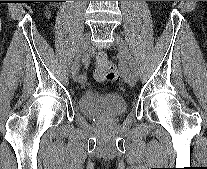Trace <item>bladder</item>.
<instances>
[{
  "label": "bladder",
  "instance_id": "1",
  "mask_svg": "<svg viewBox=\"0 0 207 169\" xmlns=\"http://www.w3.org/2000/svg\"><path fill=\"white\" fill-rule=\"evenodd\" d=\"M81 111L89 117L115 118L127 109L125 98L118 93L86 91L79 99Z\"/></svg>",
  "mask_w": 207,
  "mask_h": 169
}]
</instances>
